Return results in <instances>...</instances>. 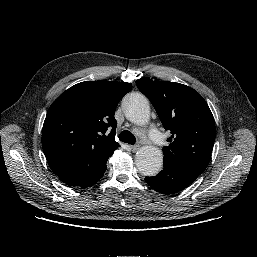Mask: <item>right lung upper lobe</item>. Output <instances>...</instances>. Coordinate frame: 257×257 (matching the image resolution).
I'll list each match as a JSON object with an SVG mask.
<instances>
[{"label": "right lung upper lobe", "mask_w": 257, "mask_h": 257, "mask_svg": "<svg viewBox=\"0 0 257 257\" xmlns=\"http://www.w3.org/2000/svg\"><path fill=\"white\" fill-rule=\"evenodd\" d=\"M131 83L85 81L63 92L50 106L42 147L61 181L78 186L99 172L120 146L115 141V109Z\"/></svg>", "instance_id": "1"}]
</instances>
